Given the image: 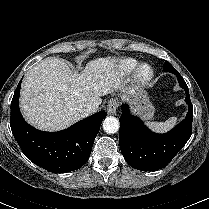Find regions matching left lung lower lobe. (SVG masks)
Here are the masks:
<instances>
[{
  "label": "left lung lower lobe",
  "instance_id": "obj_1",
  "mask_svg": "<svg viewBox=\"0 0 209 209\" xmlns=\"http://www.w3.org/2000/svg\"><path fill=\"white\" fill-rule=\"evenodd\" d=\"M180 86L186 92L185 101L189 110L186 118L166 134L151 132L143 122L130 114L128 106L122 105L119 144L126 162L135 169L156 171L165 167L187 143L191 136L193 121V105L189 89L183 77L173 72Z\"/></svg>",
  "mask_w": 209,
  "mask_h": 209
}]
</instances>
